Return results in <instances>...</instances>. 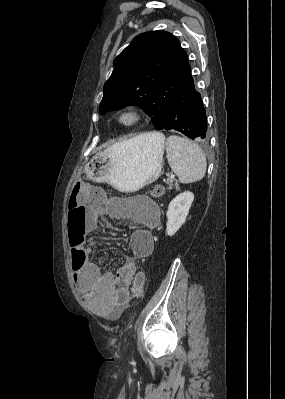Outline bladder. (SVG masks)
<instances>
[{
  "mask_svg": "<svg viewBox=\"0 0 285 399\" xmlns=\"http://www.w3.org/2000/svg\"><path fill=\"white\" fill-rule=\"evenodd\" d=\"M129 199L140 201L142 205H144L147 209H149L151 211H155L157 209V206H156L155 202L153 200H151L150 198H148V197L134 196V197H131Z\"/></svg>",
  "mask_w": 285,
  "mask_h": 399,
  "instance_id": "bladder-1",
  "label": "bladder"
}]
</instances>
